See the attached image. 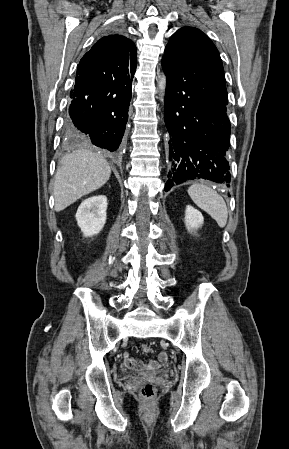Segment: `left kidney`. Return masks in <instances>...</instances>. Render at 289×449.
I'll list each match as a JSON object with an SVG mask.
<instances>
[{"mask_svg": "<svg viewBox=\"0 0 289 449\" xmlns=\"http://www.w3.org/2000/svg\"><path fill=\"white\" fill-rule=\"evenodd\" d=\"M203 222L204 218L201 212L192 206L187 205L185 210V224L187 230L192 233L193 230H197L201 227Z\"/></svg>", "mask_w": 289, "mask_h": 449, "instance_id": "left-kidney-1", "label": "left kidney"}]
</instances>
